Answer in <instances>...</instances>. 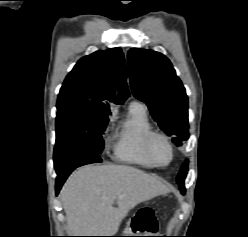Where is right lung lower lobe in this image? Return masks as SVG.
<instances>
[{
    "instance_id": "right-lung-lower-lobe-1",
    "label": "right lung lower lobe",
    "mask_w": 248,
    "mask_h": 237,
    "mask_svg": "<svg viewBox=\"0 0 248 237\" xmlns=\"http://www.w3.org/2000/svg\"><path fill=\"white\" fill-rule=\"evenodd\" d=\"M99 154L92 152H87L86 150L82 151H55L54 150V166L57 173L56 178V195L59 193L63 183L70 175V173L77 167L101 162Z\"/></svg>"
}]
</instances>
